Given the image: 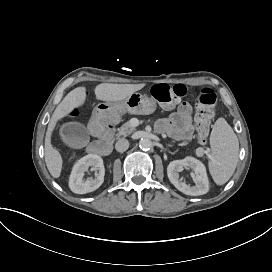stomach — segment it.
I'll return each instance as SVG.
<instances>
[{
    "label": "stomach",
    "instance_id": "obj_1",
    "mask_svg": "<svg viewBox=\"0 0 272 272\" xmlns=\"http://www.w3.org/2000/svg\"><path fill=\"white\" fill-rule=\"evenodd\" d=\"M112 107L119 112L128 111L132 114L149 115L155 112L157 104L154 98L135 92Z\"/></svg>",
    "mask_w": 272,
    "mask_h": 272
}]
</instances>
